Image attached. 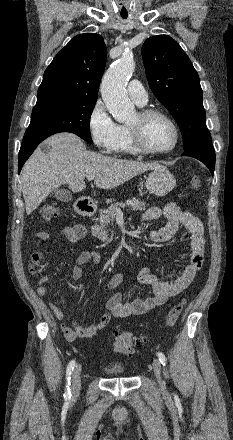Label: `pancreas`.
Here are the masks:
<instances>
[{
	"label": "pancreas",
	"mask_w": 233,
	"mask_h": 440,
	"mask_svg": "<svg viewBox=\"0 0 233 440\" xmlns=\"http://www.w3.org/2000/svg\"><path fill=\"white\" fill-rule=\"evenodd\" d=\"M128 206L134 211H144L146 209V203L132 198L128 199L126 202H116L109 206L107 209L99 210V224H95L92 227V233L101 241H108V232L106 231V226L114 222L117 209L125 208Z\"/></svg>",
	"instance_id": "cf45deb5"
}]
</instances>
